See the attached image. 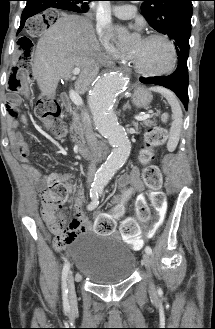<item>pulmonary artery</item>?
Instances as JSON below:
<instances>
[{
  "mask_svg": "<svg viewBox=\"0 0 215 329\" xmlns=\"http://www.w3.org/2000/svg\"><path fill=\"white\" fill-rule=\"evenodd\" d=\"M112 12L120 19H130L135 16L137 8L131 4H121L113 6Z\"/></svg>",
  "mask_w": 215,
  "mask_h": 329,
  "instance_id": "obj_1",
  "label": "pulmonary artery"
}]
</instances>
